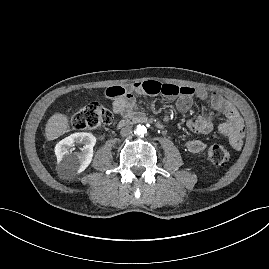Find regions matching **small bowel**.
I'll return each mask as SVG.
<instances>
[{"label":"small bowel","mask_w":269,"mask_h":269,"mask_svg":"<svg viewBox=\"0 0 269 269\" xmlns=\"http://www.w3.org/2000/svg\"><path fill=\"white\" fill-rule=\"evenodd\" d=\"M135 94H163L167 98L177 99V109L187 112L194 100L208 103L210 111L207 115H200L189 120L187 126L190 131L197 134H207L213 130L216 114L224 116V121L219 125L220 133L227 139L234 149H239L243 143L244 125L238 111L216 92L209 93L203 88L189 86H176L162 84L158 81L136 82L128 87L112 86L106 90V95L112 100V110L119 116L129 118L136 115L137 102ZM191 153L204 151L206 145L197 139H190L185 144Z\"/></svg>","instance_id":"obj_1"}]
</instances>
